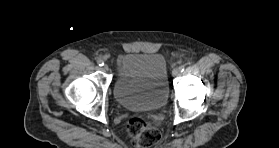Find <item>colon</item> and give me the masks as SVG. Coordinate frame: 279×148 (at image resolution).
I'll list each match as a JSON object with an SVG mask.
<instances>
[{
  "instance_id": "colon-1",
  "label": "colon",
  "mask_w": 279,
  "mask_h": 148,
  "mask_svg": "<svg viewBox=\"0 0 279 148\" xmlns=\"http://www.w3.org/2000/svg\"><path fill=\"white\" fill-rule=\"evenodd\" d=\"M125 129L138 148H149L158 143L161 138L158 125L143 116L132 115L128 117Z\"/></svg>"
}]
</instances>
